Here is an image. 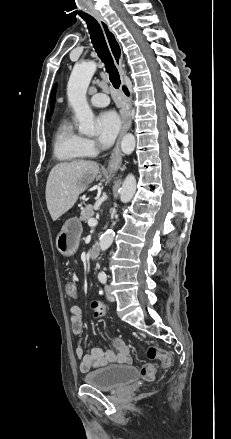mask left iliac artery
<instances>
[{
	"label": "left iliac artery",
	"instance_id": "44dca946",
	"mask_svg": "<svg viewBox=\"0 0 231 439\" xmlns=\"http://www.w3.org/2000/svg\"><path fill=\"white\" fill-rule=\"evenodd\" d=\"M99 280H100L101 283L105 284L106 281H107V277L105 275H102V276L99 277Z\"/></svg>",
	"mask_w": 231,
	"mask_h": 439
}]
</instances>
